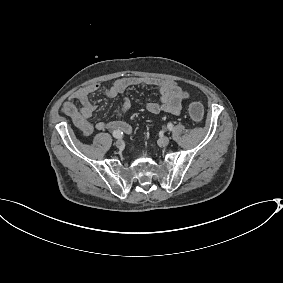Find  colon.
<instances>
[{
  "instance_id": "1",
  "label": "colon",
  "mask_w": 283,
  "mask_h": 283,
  "mask_svg": "<svg viewBox=\"0 0 283 283\" xmlns=\"http://www.w3.org/2000/svg\"><path fill=\"white\" fill-rule=\"evenodd\" d=\"M188 112H189L190 117L194 121H200V120H202V118L204 116V107L198 101H191L188 104Z\"/></svg>"
}]
</instances>
